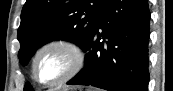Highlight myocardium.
Masks as SVG:
<instances>
[{
  "instance_id": "f54148a6",
  "label": "myocardium",
  "mask_w": 173,
  "mask_h": 91,
  "mask_svg": "<svg viewBox=\"0 0 173 91\" xmlns=\"http://www.w3.org/2000/svg\"><path fill=\"white\" fill-rule=\"evenodd\" d=\"M61 49L65 51L70 58V66L66 73L48 81H42L37 74V63L40 56L49 49ZM86 62V54L83 48L76 41L68 38H56L44 43L35 53L32 61V75L33 78L44 86H57L65 83L74 76H76L84 67Z\"/></svg>"
}]
</instances>
